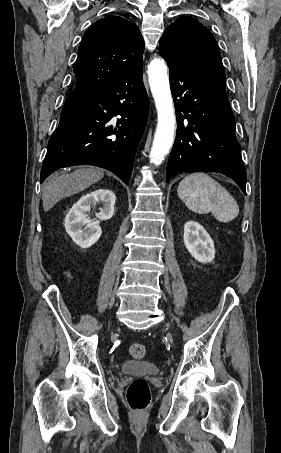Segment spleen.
I'll return each mask as SVG.
<instances>
[{"label":"spleen","instance_id":"1","mask_svg":"<svg viewBox=\"0 0 281 453\" xmlns=\"http://www.w3.org/2000/svg\"><path fill=\"white\" fill-rule=\"evenodd\" d=\"M177 192L193 212H212L220 222H230L238 216L239 206L235 198L205 172H193L185 176L179 182Z\"/></svg>","mask_w":281,"mask_h":453}]
</instances>
